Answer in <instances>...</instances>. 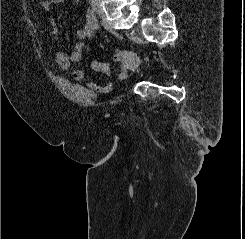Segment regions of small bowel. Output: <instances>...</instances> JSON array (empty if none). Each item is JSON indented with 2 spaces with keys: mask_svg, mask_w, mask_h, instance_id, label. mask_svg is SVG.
I'll use <instances>...</instances> for the list:
<instances>
[{
  "mask_svg": "<svg viewBox=\"0 0 245 239\" xmlns=\"http://www.w3.org/2000/svg\"><path fill=\"white\" fill-rule=\"evenodd\" d=\"M66 0H43L41 2V6L44 10H51L55 5L64 3ZM53 26V35L54 38L57 39L58 37V28L52 22ZM98 29V23L96 20L95 15L90 10L87 12V22L83 29L77 31L75 33V36L78 39H87L92 40L95 37V34ZM87 47V43L85 41H76L74 43V49L70 53H66L63 51H59L56 54V60L63 70H69L73 63H76L81 60L82 54L84 50ZM114 60L119 63V68L117 73L115 74V79L117 81H124L128 76V71L131 65L130 59L125 51L123 50H116L114 54ZM92 68L94 71L102 72L107 77H111L112 71L111 67L108 64L100 63L98 61L92 62ZM72 78L79 82L83 80L84 78V72L81 69H74L72 71ZM87 88L98 92V93H108L113 89V83L112 82H106V83H98L96 81H89L87 83Z\"/></svg>",
  "mask_w": 245,
  "mask_h": 239,
  "instance_id": "1",
  "label": "small bowel"
}]
</instances>
